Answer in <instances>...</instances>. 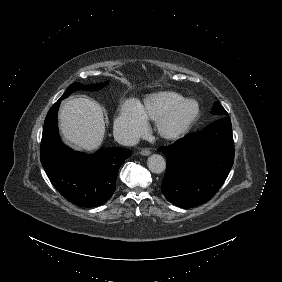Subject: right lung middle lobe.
Listing matches in <instances>:
<instances>
[{
	"label": "right lung middle lobe",
	"instance_id": "right-lung-middle-lobe-1",
	"mask_svg": "<svg viewBox=\"0 0 282 282\" xmlns=\"http://www.w3.org/2000/svg\"><path fill=\"white\" fill-rule=\"evenodd\" d=\"M106 84L103 83H98V84H91V85H82L80 83H73L71 84L66 92L62 95V99H65L68 97L72 92L76 90H87V91H95V90H100L102 87H104Z\"/></svg>",
	"mask_w": 282,
	"mask_h": 282
}]
</instances>
